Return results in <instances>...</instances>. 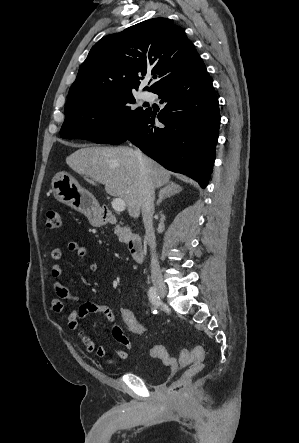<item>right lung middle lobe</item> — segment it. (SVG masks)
Returning a JSON list of instances; mask_svg holds the SVG:
<instances>
[{
    "instance_id": "dd1d6c3e",
    "label": "right lung middle lobe",
    "mask_w": 299,
    "mask_h": 443,
    "mask_svg": "<svg viewBox=\"0 0 299 443\" xmlns=\"http://www.w3.org/2000/svg\"><path fill=\"white\" fill-rule=\"evenodd\" d=\"M134 103V94L126 93L68 105L60 136L108 143L147 110L134 108Z\"/></svg>"
}]
</instances>
